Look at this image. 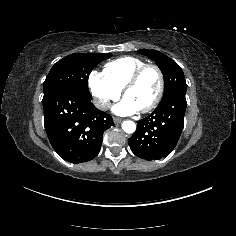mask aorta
<instances>
[{
  "mask_svg": "<svg viewBox=\"0 0 236 236\" xmlns=\"http://www.w3.org/2000/svg\"><path fill=\"white\" fill-rule=\"evenodd\" d=\"M122 129L126 133H133L136 129V125L132 120H125L122 122Z\"/></svg>",
  "mask_w": 236,
  "mask_h": 236,
  "instance_id": "1",
  "label": "aorta"
}]
</instances>
